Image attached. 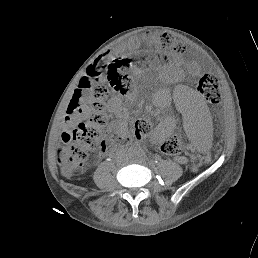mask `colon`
Returning <instances> with one entry per match:
<instances>
[{
	"instance_id": "1",
	"label": "colon",
	"mask_w": 258,
	"mask_h": 258,
	"mask_svg": "<svg viewBox=\"0 0 258 258\" xmlns=\"http://www.w3.org/2000/svg\"><path fill=\"white\" fill-rule=\"evenodd\" d=\"M155 43L162 48L173 47L170 36L163 34L156 38ZM127 64L120 60L99 58L88 68L86 76L80 80L79 87L69 105L70 113L79 108L86 114L81 126L67 134L58 150V162L64 176L76 174L84 165L88 153L96 149L113 148L120 145L123 133H102L105 123L103 108L108 95V83L116 91L128 94L132 88L131 78L127 73ZM198 91L211 103L220 100L219 81L216 76L205 74L198 82ZM134 133L146 138L151 133V125L144 119L135 122ZM160 150L169 156H177L183 152V142L177 136L165 138Z\"/></svg>"
}]
</instances>
